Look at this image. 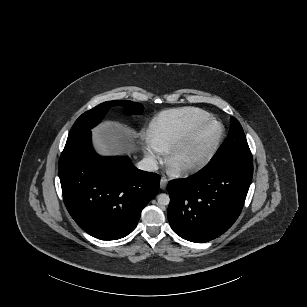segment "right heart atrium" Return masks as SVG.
Here are the masks:
<instances>
[{"label":"right heart atrium","mask_w":307,"mask_h":307,"mask_svg":"<svg viewBox=\"0 0 307 307\" xmlns=\"http://www.w3.org/2000/svg\"><path fill=\"white\" fill-rule=\"evenodd\" d=\"M145 161L148 166L156 167L163 158L162 152L153 143H147L144 147Z\"/></svg>","instance_id":"d8ad5b80"}]
</instances>
